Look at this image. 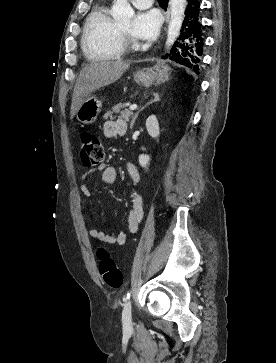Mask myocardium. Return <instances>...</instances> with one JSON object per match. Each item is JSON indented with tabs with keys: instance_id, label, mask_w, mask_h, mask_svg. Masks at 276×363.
<instances>
[{
	"instance_id": "obj_1",
	"label": "myocardium",
	"mask_w": 276,
	"mask_h": 363,
	"mask_svg": "<svg viewBox=\"0 0 276 363\" xmlns=\"http://www.w3.org/2000/svg\"><path fill=\"white\" fill-rule=\"evenodd\" d=\"M117 37L119 45L123 51L136 49L137 44L131 36L120 27V25H118L117 28Z\"/></svg>"
}]
</instances>
